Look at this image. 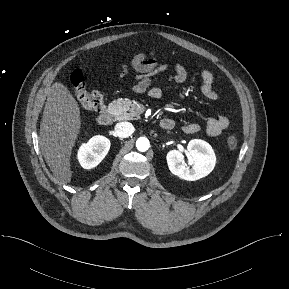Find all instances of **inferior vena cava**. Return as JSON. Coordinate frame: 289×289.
<instances>
[{"label":"inferior vena cava","mask_w":289,"mask_h":289,"mask_svg":"<svg viewBox=\"0 0 289 289\" xmlns=\"http://www.w3.org/2000/svg\"><path fill=\"white\" fill-rule=\"evenodd\" d=\"M134 132V127L129 122H119L115 125V133L120 138H126Z\"/></svg>","instance_id":"602c4592"}]
</instances>
